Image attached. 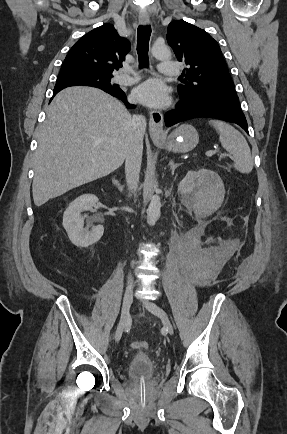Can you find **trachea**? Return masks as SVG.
I'll use <instances>...</instances> for the list:
<instances>
[{"mask_svg":"<svg viewBox=\"0 0 287 434\" xmlns=\"http://www.w3.org/2000/svg\"><path fill=\"white\" fill-rule=\"evenodd\" d=\"M151 36V26L150 25H140L137 30V54L139 59V67H148V50H149V40Z\"/></svg>","mask_w":287,"mask_h":434,"instance_id":"trachea-1","label":"trachea"}]
</instances>
